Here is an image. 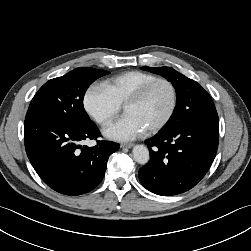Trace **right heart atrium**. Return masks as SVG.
I'll return each mask as SVG.
<instances>
[{
	"mask_svg": "<svg viewBox=\"0 0 251 251\" xmlns=\"http://www.w3.org/2000/svg\"><path fill=\"white\" fill-rule=\"evenodd\" d=\"M86 113L99 125H108L119 113L121 106L107 89L98 84L90 85L83 96Z\"/></svg>",
	"mask_w": 251,
	"mask_h": 251,
	"instance_id": "obj_1",
	"label": "right heart atrium"
}]
</instances>
